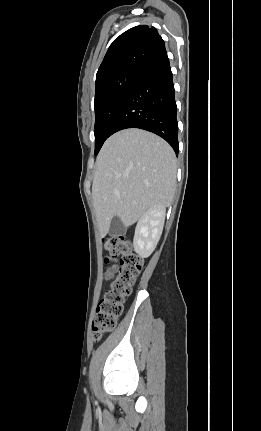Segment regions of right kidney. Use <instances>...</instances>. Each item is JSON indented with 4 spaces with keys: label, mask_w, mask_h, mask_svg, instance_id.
Segmentation results:
<instances>
[{
    "label": "right kidney",
    "mask_w": 261,
    "mask_h": 431,
    "mask_svg": "<svg viewBox=\"0 0 261 431\" xmlns=\"http://www.w3.org/2000/svg\"><path fill=\"white\" fill-rule=\"evenodd\" d=\"M166 209L162 206H154L148 209L139 219L133 246L135 252L143 258H147L156 248L162 234Z\"/></svg>",
    "instance_id": "1"
}]
</instances>
